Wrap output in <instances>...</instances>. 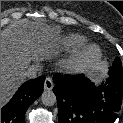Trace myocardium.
<instances>
[{
    "instance_id": "obj_1",
    "label": "myocardium",
    "mask_w": 123,
    "mask_h": 123,
    "mask_svg": "<svg viewBox=\"0 0 123 123\" xmlns=\"http://www.w3.org/2000/svg\"><path fill=\"white\" fill-rule=\"evenodd\" d=\"M101 58V50L96 45H88L72 56L66 69L72 74H81L91 69Z\"/></svg>"
}]
</instances>
